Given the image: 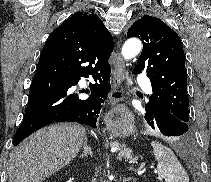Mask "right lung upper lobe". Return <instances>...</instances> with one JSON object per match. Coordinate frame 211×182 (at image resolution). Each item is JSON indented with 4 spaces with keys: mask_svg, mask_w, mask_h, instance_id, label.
<instances>
[{
    "mask_svg": "<svg viewBox=\"0 0 211 182\" xmlns=\"http://www.w3.org/2000/svg\"><path fill=\"white\" fill-rule=\"evenodd\" d=\"M63 25H67L70 34L83 48H92L105 60L109 59L113 51V39L96 14L77 12L60 26Z\"/></svg>",
    "mask_w": 211,
    "mask_h": 182,
    "instance_id": "cb5924a9",
    "label": "right lung upper lobe"
}]
</instances>
